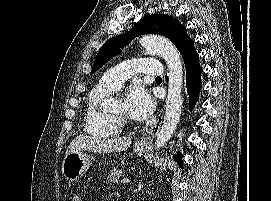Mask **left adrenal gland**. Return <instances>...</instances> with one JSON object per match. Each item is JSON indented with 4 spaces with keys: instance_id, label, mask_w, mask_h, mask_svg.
<instances>
[{
    "instance_id": "obj_1",
    "label": "left adrenal gland",
    "mask_w": 271,
    "mask_h": 201,
    "mask_svg": "<svg viewBox=\"0 0 271 201\" xmlns=\"http://www.w3.org/2000/svg\"><path fill=\"white\" fill-rule=\"evenodd\" d=\"M142 188H143V184H142V183H139L138 189H137L136 191H140Z\"/></svg>"
}]
</instances>
